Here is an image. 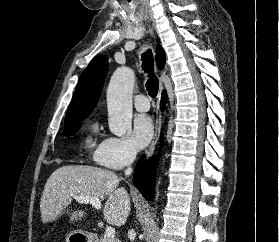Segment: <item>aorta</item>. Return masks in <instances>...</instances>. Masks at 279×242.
<instances>
[{"instance_id":"1","label":"aorta","mask_w":279,"mask_h":242,"mask_svg":"<svg viewBox=\"0 0 279 242\" xmlns=\"http://www.w3.org/2000/svg\"><path fill=\"white\" fill-rule=\"evenodd\" d=\"M134 71L119 67L111 77L107 89L108 124L111 133L122 137L132 128V92Z\"/></svg>"}]
</instances>
